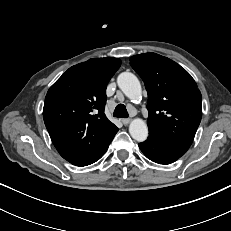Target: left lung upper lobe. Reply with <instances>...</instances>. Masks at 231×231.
Returning a JSON list of instances; mask_svg holds the SVG:
<instances>
[{"label":"left lung upper lobe","instance_id":"obj_1","mask_svg":"<svg viewBox=\"0 0 231 231\" xmlns=\"http://www.w3.org/2000/svg\"><path fill=\"white\" fill-rule=\"evenodd\" d=\"M148 92L149 133L188 150L201 121V93L179 64L156 53L132 56Z\"/></svg>","mask_w":231,"mask_h":231}]
</instances>
